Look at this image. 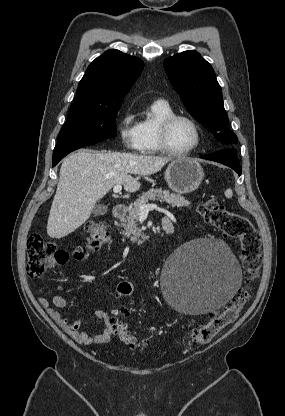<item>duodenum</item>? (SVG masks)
Returning <instances> with one entry per match:
<instances>
[{"label": "duodenum", "instance_id": "obj_1", "mask_svg": "<svg viewBox=\"0 0 285 416\" xmlns=\"http://www.w3.org/2000/svg\"><path fill=\"white\" fill-rule=\"evenodd\" d=\"M126 213H127V206L125 204H117L113 209V216L117 219L124 217ZM162 227H163L164 232L167 235L173 234L174 225L170 219L168 218L163 219Z\"/></svg>", "mask_w": 285, "mask_h": 416}]
</instances>
